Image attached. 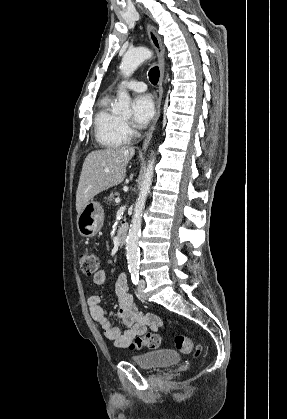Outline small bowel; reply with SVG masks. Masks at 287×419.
I'll list each match as a JSON object with an SVG mask.
<instances>
[{
	"label": "small bowel",
	"instance_id": "c3829d8e",
	"mask_svg": "<svg viewBox=\"0 0 287 419\" xmlns=\"http://www.w3.org/2000/svg\"><path fill=\"white\" fill-rule=\"evenodd\" d=\"M106 272L98 271L93 281L100 286L105 283ZM117 300V317L125 326L124 331L119 327L112 326L110 319L105 315L101 306V295L94 292L88 299L89 312L92 319L104 331L106 337L119 348H127L130 342L137 336L143 335L147 328L157 330L162 322L154 313L143 314L134 304L133 297L129 292L128 280L125 274H120L115 283Z\"/></svg>",
	"mask_w": 287,
	"mask_h": 419
}]
</instances>
